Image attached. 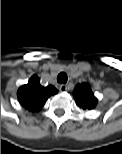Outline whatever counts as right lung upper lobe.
<instances>
[{"label": "right lung upper lobe", "instance_id": "obj_1", "mask_svg": "<svg viewBox=\"0 0 122 154\" xmlns=\"http://www.w3.org/2000/svg\"><path fill=\"white\" fill-rule=\"evenodd\" d=\"M57 92V89L52 85L41 86L38 76L33 75L28 84L19 88L18 100L23 107L35 112L41 110L46 100Z\"/></svg>", "mask_w": 122, "mask_h": 154}]
</instances>
